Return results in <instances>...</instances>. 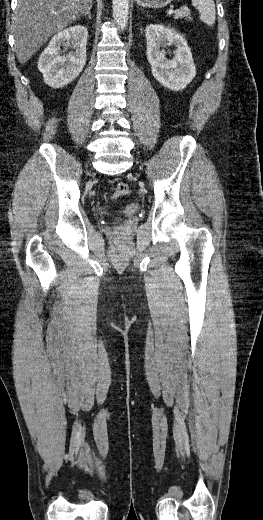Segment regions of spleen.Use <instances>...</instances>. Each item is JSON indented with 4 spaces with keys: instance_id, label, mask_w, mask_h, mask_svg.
I'll use <instances>...</instances> for the list:
<instances>
[{
    "instance_id": "obj_1",
    "label": "spleen",
    "mask_w": 263,
    "mask_h": 520,
    "mask_svg": "<svg viewBox=\"0 0 263 520\" xmlns=\"http://www.w3.org/2000/svg\"><path fill=\"white\" fill-rule=\"evenodd\" d=\"M192 5L198 9L202 22L209 26L215 23L216 11L213 0H192Z\"/></svg>"
}]
</instances>
